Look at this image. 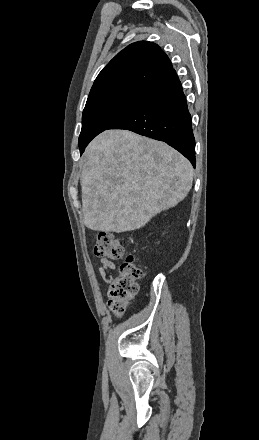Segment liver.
Segmentation results:
<instances>
[{
	"instance_id": "liver-1",
	"label": "liver",
	"mask_w": 259,
	"mask_h": 440,
	"mask_svg": "<svg viewBox=\"0 0 259 440\" xmlns=\"http://www.w3.org/2000/svg\"><path fill=\"white\" fill-rule=\"evenodd\" d=\"M84 224L94 231L126 232L175 207L193 182L190 162L167 144L127 130H106L83 155Z\"/></svg>"
}]
</instances>
